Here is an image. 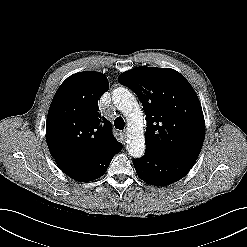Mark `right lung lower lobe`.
Listing matches in <instances>:
<instances>
[{
  "mask_svg": "<svg viewBox=\"0 0 247 247\" xmlns=\"http://www.w3.org/2000/svg\"><path fill=\"white\" fill-rule=\"evenodd\" d=\"M122 149V144L99 159L86 164H73L56 161L58 167L69 177L80 182L91 181L101 177L107 170L112 158Z\"/></svg>",
  "mask_w": 247,
  "mask_h": 247,
  "instance_id": "right-lung-lower-lobe-1",
  "label": "right lung lower lobe"
}]
</instances>
